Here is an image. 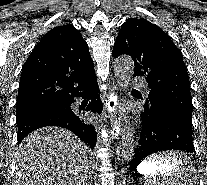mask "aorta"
<instances>
[{
    "mask_svg": "<svg viewBox=\"0 0 207 185\" xmlns=\"http://www.w3.org/2000/svg\"><path fill=\"white\" fill-rule=\"evenodd\" d=\"M133 72L134 62L130 56L123 55L115 60L114 75L117 85L123 90H128ZM134 147V132L129 125L123 133L116 150L115 169L117 185L126 184V173L128 171V164L134 155Z\"/></svg>",
    "mask_w": 207,
    "mask_h": 185,
    "instance_id": "aorta-1",
    "label": "aorta"
}]
</instances>
